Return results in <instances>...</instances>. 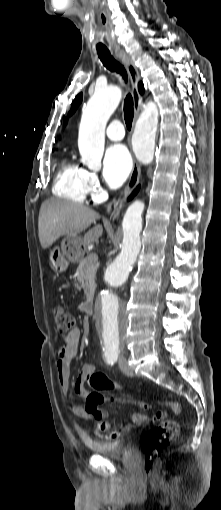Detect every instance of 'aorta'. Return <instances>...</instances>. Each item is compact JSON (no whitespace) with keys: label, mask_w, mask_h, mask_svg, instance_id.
<instances>
[{"label":"aorta","mask_w":221,"mask_h":510,"mask_svg":"<svg viewBox=\"0 0 221 510\" xmlns=\"http://www.w3.org/2000/svg\"><path fill=\"white\" fill-rule=\"evenodd\" d=\"M121 89L114 85L96 88L83 109L78 135V148L82 162L90 169L98 170L104 152L105 127L121 100ZM158 127V109L148 103L136 125L132 137L133 151L139 161L152 162L155 134ZM145 204L134 201L126 210L122 221L123 240L121 252L107 266L103 285L98 292L94 313L100 340L104 348L118 350L123 343L127 327L124 304L116 290L128 279L129 272L141 249L140 232Z\"/></svg>","instance_id":"obj_1"}]
</instances>
